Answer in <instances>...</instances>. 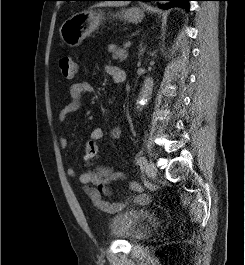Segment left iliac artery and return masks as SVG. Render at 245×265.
Here are the masks:
<instances>
[{"instance_id": "44dca946", "label": "left iliac artery", "mask_w": 245, "mask_h": 265, "mask_svg": "<svg viewBox=\"0 0 245 265\" xmlns=\"http://www.w3.org/2000/svg\"><path fill=\"white\" fill-rule=\"evenodd\" d=\"M146 163V158L145 157H139L137 159V164L140 166H143Z\"/></svg>"}]
</instances>
